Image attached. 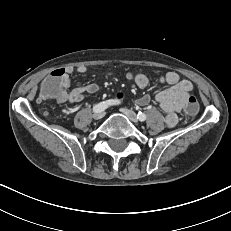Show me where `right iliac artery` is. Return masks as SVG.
Wrapping results in <instances>:
<instances>
[{"label": "right iliac artery", "instance_id": "1", "mask_svg": "<svg viewBox=\"0 0 231 231\" xmlns=\"http://www.w3.org/2000/svg\"><path fill=\"white\" fill-rule=\"evenodd\" d=\"M119 103L120 102L118 100H112V99L100 102L93 107V112H102L105 109H107L109 106Z\"/></svg>", "mask_w": 231, "mask_h": 231}]
</instances>
